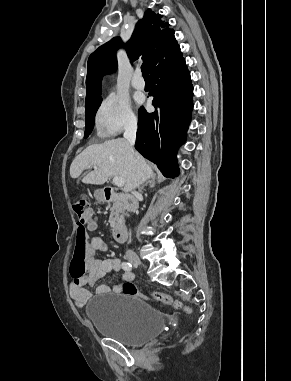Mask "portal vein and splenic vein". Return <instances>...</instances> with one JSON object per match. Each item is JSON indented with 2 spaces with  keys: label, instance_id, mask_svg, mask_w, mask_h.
I'll use <instances>...</instances> for the list:
<instances>
[{
  "label": "portal vein and splenic vein",
  "instance_id": "18ae733b",
  "mask_svg": "<svg viewBox=\"0 0 291 381\" xmlns=\"http://www.w3.org/2000/svg\"><path fill=\"white\" fill-rule=\"evenodd\" d=\"M95 168H96V166H95ZM113 182H114V184H115L116 186H118V187H122V186H124V179H122V178H120V177H118V176H115V177L113 178Z\"/></svg>",
  "mask_w": 291,
  "mask_h": 381
}]
</instances>
